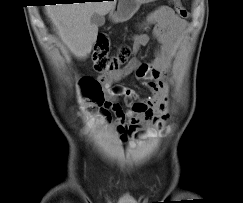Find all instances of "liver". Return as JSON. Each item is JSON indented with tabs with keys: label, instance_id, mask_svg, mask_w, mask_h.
<instances>
[{
	"label": "liver",
	"instance_id": "liver-1",
	"mask_svg": "<svg viewBox=\"0 0 243 203\" xmlns=\"http://www.w3.org/2000/svg\"><path fill=\"white\" fill-rule=\"evenodd\" d=\"M114 6L112 1H102L47 5L45 9L62 42L75 57L85 59L98 34L97 26L91 23V16L94 13L104 16Z\"/></svg>",
	"mask_w": 243,
	"mask_h": 203
}]
</instances>
